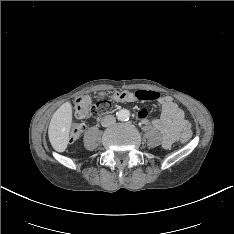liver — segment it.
Returning <instances> with one entry per match:
<instances>
[{
	"instance_id": "1",
	"label": "liver",
	"mask_w": 234,
	"mask_h": 234,
	"mask_svg": "<svg viewBox=\"0 0 234 234\" xmlns=\"http://www.w3.org/2000/svg\"><path fill=\"white\" fill-rule=\"evenodd\" d=\"M71 124L72 106L65 102L53 114L48 128L50 143L56 151L63 152L67 148Z\"/></svg>"
}]
</instances>
